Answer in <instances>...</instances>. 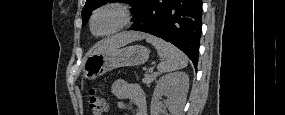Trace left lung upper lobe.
Instances as JSON below:
<instances>
[{"label": "left lung upper lobe", "mask_w": 285, "mask_h": 115, "mask_svg": "<svg viewBox=\"0 0 285 115\" xmlns=\"http://www.w3.org/2000/svg\"><path fill=\"white\" fill-rule=\"evenodd\" d=\"M143 0H86V4L82 10V20H83V26L87 24L88 20H89V15L92 12V10L108 3V2H123V3H128L130 4L133 9H132V13H134L140 3Z\"/></svg>", "instance_id": "1"}]
</instances>
